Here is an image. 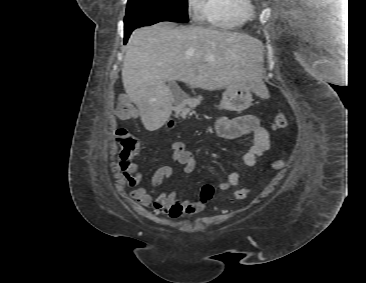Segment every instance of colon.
Wrapping results in <instances>:
<instances>
[{"instance_id":"5ec220e1","label":"colon","mask_w":366,"mask_h":283,"mask_svg":"<svg viewBox=\"0 0 366 283\" xmlns=\"http://www.w3.org/2000/svg\"><path fill=\"white\" fill-rule=\"evenodd\" d=\"M136 113L135 108L130 101L121 97L118 100L115 114L119 119H130L134 117ZM287 125V118L282 112H278L272 123L273 130H280ZM116 139L121 145L119 158L122 163H129L138 151V143L134 137L124 128H118L116 130ZM285 162L283 159H277L272 162L273 169L280 170L284 167ZM249 194L248 188H241L234 193L235 200H243ZM213 195V187L210 184H206L201 190V202H207Z\"/></svg>"}]
</instances>
